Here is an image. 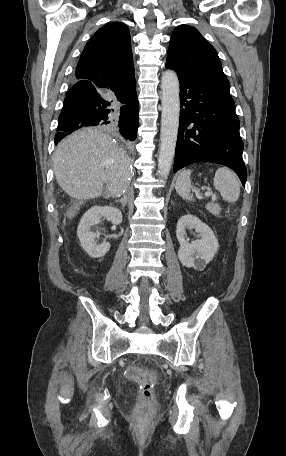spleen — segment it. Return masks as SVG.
<instances>
[{
	"label": "spleen",
	"instance_id": "3e777b00",
	"mask_svg": "<svg viewBox=\"0 0 286 456\" xmlns=\"http://www.w3.org/2000/svg\"><path fill=\"white\" fill-rule=\"evenodd\" d=\"M191 170H183L176 181L175 189L185 200L194 201L190 193ZM214 188L220 192L223 199L229 203H234L240 195V181L236 174L226 167L217 169L213 181Z\"/></svg>",
	"mask_w": 286,
	"mask_h": 456
}]
</instances>
